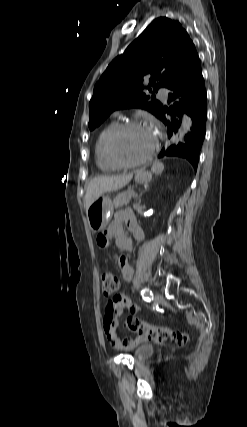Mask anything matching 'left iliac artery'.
I'll use <instances>...</instances> for the list:
<instances>
[{"label":"left iliac artery","mask_w":247,"mask_h":427,"mask_svg":"<svg viewBox=\"0 0 247 427\" xmlns=\"http://www.w3.org/2000/svg\"><path fill=\"white\" fill-rule=\"evenodd\" d=\"M141 295H142L143 299L148 301V302L151 301L153 298V293L151 292V290L149 288L142 289Z\"/></svg>","instance_id":"left-iliac-artery-1"}]
</instances>
